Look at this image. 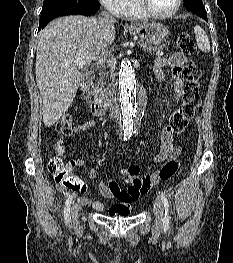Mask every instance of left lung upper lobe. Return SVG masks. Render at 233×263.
I'll list each match as a JSON object with an SVG mask.
<instances>
[{
	"mask_svg": "<svg viewBox=\"0 0 233 263\" xmlns=\"http://www.w3.org/2000/svg\"><path fill=\"white\" fill-rule=\"evenodd\" d=\"M184 3L186 8L195 14L203 15L207 13L202 0H184Z\"/></svg>",
	"mask_w": 233,
	"mask_h": 263,
	"instance_id": "5c2ea615",
	"label": "left lung upper lobe"
}]
</instances>
